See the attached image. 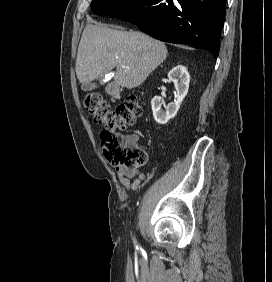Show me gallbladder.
<instances>
[{
	"mask_svg": "<svg viewBox=\"0 0 272 282\" xmlns=\"http://www.w3.org/2000/svg\"><path fill=\"white\" fill-rule=\"evenodd\" d=\"M100 84L102 85L103 81H100ZM96 87H97V85L92 84V83L84 84L82 86L83 90H85V91H91V90L95 89Z\"/></svg>",
	"mask_w": 272,
	"mask_h": 282,
	"instance_id": "obj_1",
	"label": "gallbladder"
}]
</instances>
